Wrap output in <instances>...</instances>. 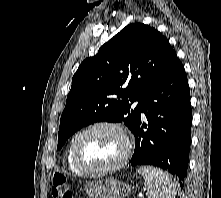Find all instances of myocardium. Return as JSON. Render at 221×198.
I'll list each match as a JSON object with an SVG mask.
<instances>
[{"label":"myocardium","instance_id":"obj_1","mask_svg":"<svg viewBox=\"0 0 221 198\" xmlns=\"http://www.w3.org/2000/svg\"><path fill=\"white\" fill-rule=\"evenodd\" d=\"M99 128L112 129L118 132L124 141V151L121 157L114 164L103 167V168H92L82 163L79 157L78 145H79L81 138L85 134H87L88 132L92 130L99 129ZM132 146L133 145H132V140H131L130 135L120 124L109 122V121H100V122H96L85 127L76 135L72 143V158H73L75 165L83 173L89 174V175H105V174H109V173L119 170L128 162L132 153Z\"/></svg>","mask_w":221,"mask_h":198}]
</instances>
